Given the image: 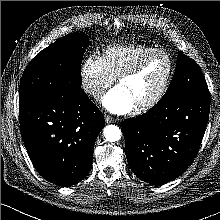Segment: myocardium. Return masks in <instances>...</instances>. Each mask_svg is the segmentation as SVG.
Returning a JSON list of instances; mask_svg holds the SVG:
<instances>
[{
  "mask_svg": "<svg viewBox=\"0 0 220 220\" xmlns=\"http://www.w3.org/2000/svg\"><path fill=\"white\" fill-rule=\"evenodd\" d=\"M154 55H163L166 57L168 61V72L166 75V78L161 85L160 89L157 91V93L148 101L136 106V109L138 111H147L158 105L161 100L164 98L171 82L174 76L175 72V64L172 56L165 50L162 49H153L151 51H148L144 54H142L140 57H138L135 61L131 63V65L126 68L124 71H122L117 77L116 82L119 84L122 80L126 78H130L138 73L140 68L142 67L143 63L151 56Z\"/></svg>",
  "mask_w": 220,
  "mask_h": 220,
  "instance_id": "1",
  "label": "myocardium"
}]
</instances>
